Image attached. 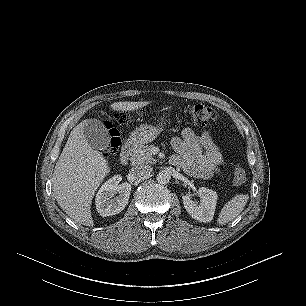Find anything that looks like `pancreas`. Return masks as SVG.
<instances>
[{
  "instance_id": "cf45deb5",
  "label": "pancreas",
  "mask_w": 306,
  "mask_h": 306,
  "mask_svg": "<svg viewBox=\"0 0 306 306\" xmlns=\"http://www.w3.org/2000/svg\"><path fill=\"white\" fill-rule=\"evenodd\" d=\"M152 145H140L132 154L131 161L133 164H154L156 160L151 152Z\"/></svg>"
}]
</instances>
